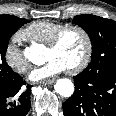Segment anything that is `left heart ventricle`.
I'll return each mask as SVG.
<instances>
[{
    "label": "left heart ventricle",
    "mask_w": 116,
    "mask_h": 116,
    "mask_svg": "<svg viewBox=\"0 0 116 116\" xmlns=\"http://www.w3.org/2000/svg\"><path fill=\"white\" fill-rule=\"evenodd\" d=\"M84 52L85 42L83 36L75 30H69L65 33L57 48H46L44 59L57 58L69 69L82 59Z\"/></svg>",
    "instance_id": "left-heart-ventricle-1"
}]
</instances>
